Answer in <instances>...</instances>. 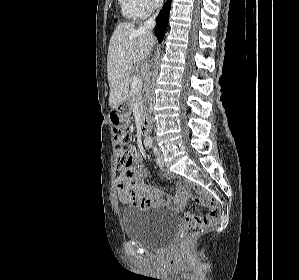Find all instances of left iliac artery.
<instances>
[{
  "mask_svg": "<svg viewBox=\"0 0 299 280\" xmlns=\"http://www.w3.org/2000/svg\"><path fill=\"white\" fill-rule=\"evenodd\" d=\"M153 150H154V153H157V151H158L156 147H154Z\"/></svg>",
  "mask_w": 299,
  "mask_h": 280,
  "instance_id": "obj_1",
  "label": "left iliac artery"
}]
</instances>
